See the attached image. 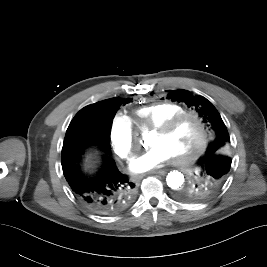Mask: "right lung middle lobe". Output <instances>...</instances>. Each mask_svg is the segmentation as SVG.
<instances>
[{
    "label": "right lung middle lobe",
    "instance_id": "dd1d6c3e",
    "mask_svg": "<svg viewBox=\"0 0 267 267\" xmlns=\"http://www.w3.org/2000/svg\"><path fill=\"white\" fill-rule=\"evenodd\" d=\"M122 104H126V103L117 102V101L110 102L103 107V110L101 112L104 115L107 126L104 132L103 138H102V148L100 150L106 154H109L111 151V146H110L111 124H112L113 118L115 117L116 112L119 110Z\"/></svg>",
    "mask_w": 267,
    "mask_h": 267
}]
</instances>
